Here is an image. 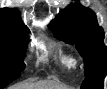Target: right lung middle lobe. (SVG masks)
<instances>
[{
	"instance_id": "right-lung-middle-lobe-1",
	"label": "right lung middle lobe",
	"mask_w": 107,
	"mask_h": 89,
	"mask_svg": "<svg viewBox=\"0 0 107 89\" xmlns=\"http://www.w3.org/2000/svg\"><path fill=\"white\" fill-rule=\"evenodd\" d=\"M27 28L0 25V88L20 76L28 43Z\"/></svg>"
}]
</instances>
